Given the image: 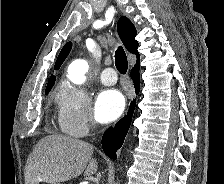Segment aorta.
Returning <instances> with one entry per match:
<instances>
[{
    "label": "aorta",
    "instance_id": "aorta-1",
    "mask_svg": "<svg viewBox=\"0 0 224 184\" xmlns=\"http://www.w3.org/2000/svg\"><path fill=\"white\" fill-rule=\"evenodd\" d=\"M89 65L85 60H75L68 68V79L74 84H82L85 82V73L88 71Z\"/></svg>",
    "mask_w": 224,
    "mask_h": 184
}]
</instances>
